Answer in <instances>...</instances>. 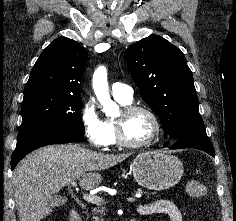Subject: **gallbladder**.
I'll return each instance as SVG.
<instances>
[{
  "instance_id": "gallbladder-1",
  "label": "gallbladder",
  "mask_w": 236,
  "mask_h": 221,
  "mask_svg": "<svg viewBox=\"0 0 236 221\" xmlns=\"http://www.w3.org/2000/svg\"><path fill=\"white\" fill-rule=\"evenodd\" d=\"M64 203V198L59 195H54L49 201V204L52 207H58L61 206Z\"/></svg>"
}]
</instances>
